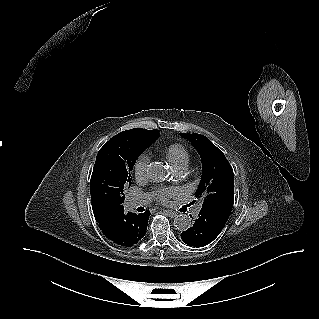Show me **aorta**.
Here are the masks:
<instances>
[{
	"label": "aorta",
	"instance_id": "1",
	"mask_svg": "<svg viewBox=\"0 0 319 319\" xmlns=\"http://www.w3.org/2000/svg\"><path fill=\"white\" fill-rule=\"evenodd\" d=\"M147 175L153 182H162L168 176L166 166L161 162H152L148 165ZM174 226L180 231H185L191 226V219L186 214H179L174 218Z\"/></svg>",
	"mask_w": 319,
	"mask_h": 319
}]
</instances>
